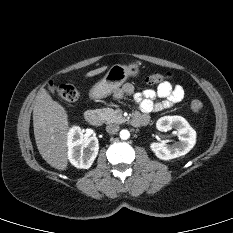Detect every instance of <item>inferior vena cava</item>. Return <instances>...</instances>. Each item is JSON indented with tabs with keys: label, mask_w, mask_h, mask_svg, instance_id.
<instances>
[{
	"label": "inferior vena cava",
	"mask_w": 233,
	"mask_h": 233,
	"mask_svg": "<svg viewBox=\"0 0 233 233\" xmlns=\"http://www.w3.org/2000/svg\"><path fill=\"white\" fill-rule=\"evenodd\" d=\"M119 125L117 124H108L106 126V131L110 134H116L119 131Z\"/></svg>",
	"instance_id": "inferior-vena-cava-1"
}]
</instances>
